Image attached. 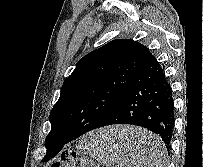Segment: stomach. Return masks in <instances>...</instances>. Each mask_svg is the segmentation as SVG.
Here are the masks:
<instances>
[{
	"mask_svg": "<svg viewBox=\"0 0 203 167\" xmlns=\"http://www.w3.org/2000/svg\"><path fill=\"white\" fill-rule=\"evenodd\" d=\"M111 128V127H110ZM108 129L109 128H107V129H104V130H101V131H103L104 133H108L107 131H108Z\"/></svg>",
	"mask_w": 203,
	"mask_h": 167,
	"instance_id": "1",
	"label": "stomach"
}]
</instances>
